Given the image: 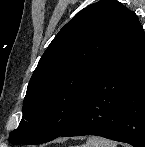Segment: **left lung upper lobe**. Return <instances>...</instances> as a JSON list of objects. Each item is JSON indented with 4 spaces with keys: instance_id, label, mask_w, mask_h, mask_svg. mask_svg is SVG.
Wrapping results in <instances>:
<instances>
[{
    "instance_id": "left-lung-upper-lobe-1",
    "label": "left lung upper lobe",
    "mask_w": 145,
    "mask_h": 147,
    "mask_svg": "<svg viewBox=\"0 0 145 147\" xmlns=\"http://www.w3.org/2000/svg\"><path fill=\"white\" fill-rule=\"evenodd\" d=\"M129 10L101 0L75 15L42 55L27 87L23 119L9 142L40 144L67 131L78 117Z\"/></svg>"
}]
</instances>
